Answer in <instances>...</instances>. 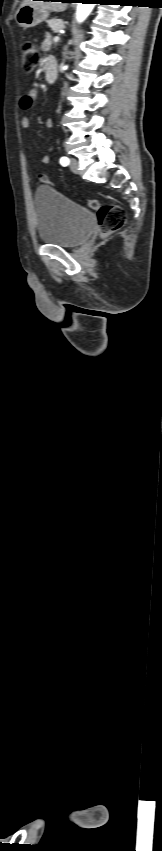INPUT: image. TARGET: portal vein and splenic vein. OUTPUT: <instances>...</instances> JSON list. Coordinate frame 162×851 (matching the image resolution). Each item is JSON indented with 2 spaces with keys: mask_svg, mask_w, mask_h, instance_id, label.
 <instances>
[{
  "mask_svg": "<svg viewBox=\"0 0 162 851\" xmlns=\"http://www.w3.org/2000/svg\"><path fill=\"white\" fill-rule=\"evenodd\" d=\"M59 40H60L59 36H55V37H54V41H55V42H58Z\"/></svg>",
  "mask_w": 162,
  "mask_h": 851,
  "instance_id": "1",
  "label": "portal vein and splenic vein"
}]
</instances>
